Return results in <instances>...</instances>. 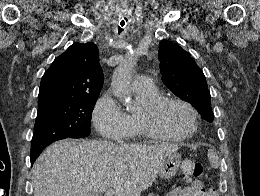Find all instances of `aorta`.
Listing matches in <instances>:
<instances>
[{
  "mask_svg": "<svg viewBox=\"0 0 260 196\" xmlns=\"http://www.w3.org/2000/svg\"><path fill=\"white\" fill-rule=\"evenodd\" d=\"M136 65V59L131 54L126 57L114 70L111 81V88L114 96L125 104H130V81L132 71Z\"/></svg>",
  "mask_w": 260,
  "mask_h": 196,
  "instance_id": "aorta-1",
  "label": "aorta"
}]
</instances>
